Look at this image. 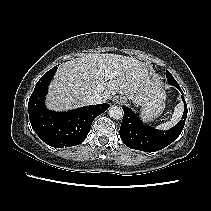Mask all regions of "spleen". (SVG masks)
<instances>
[{
    "mask_svg": "<svg viewBox=\"0 0 211 211\" xmlns=\"http://www.w3.org/2000/svg\"><path fill=\"white\" fill-rule=\"evenodd\" d=\"M183 108L184 107H183V104L181 102L179 104H177V106L174 109V112L172 114L170 121L162 123V124L158 125L156 128L161 129V130H167V129H170L171 127H173L180 120V118L183 114Z\"/></svg>",
    "mask_w": 211,
    "mask_h": 211,
    "instance_id": "spleen-1",
    "label": "spleen"
}]
</instances>
